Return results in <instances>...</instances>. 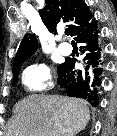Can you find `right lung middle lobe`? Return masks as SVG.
<instances>
[{
	"label": "right lung middle lobe",
	"instance_id": "dd1d6c3e",
	"mask_svg": "<svg viewBox=\"0 0 117 136\" xmlns=\"http://www.w3.org/2000/svg\"><path fill=\"white\" fill-rule=\"evenodd\" d=\"M59 67H60V65L58 66V68ZM19 71H20V66L13 69V85H15L17 82Z\"/></svg>",
	"mask_w": 117,
	"mask_h": 136
}]
</instances>
